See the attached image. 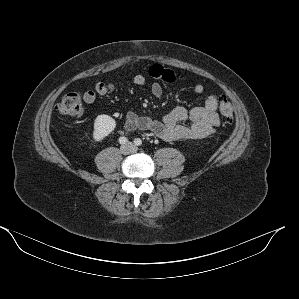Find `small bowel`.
I'll use <instances>...</instances> for the list:
<instances>
[{"label":"small bowel","mask_w":299,"mask_h":299,"mask_svg":"<svg viewBox=\"0 0 299 299\" xmlns=\"http://www.w3.org/2000/svg\"><path fill=\"white\" fill-rule=\"evenodd\" d=\"M148 73L150 77L155 79V82L151 85V93L155 97L162 96V83L184 82L187 80L186 75L165 69L158 64L152 65ZM131 82L134 85H144L146 77L143 74H137ZM115 89L116 85L114 83L100 81L93 90L84 92L83 99L87 104L93 105L97 100V96L107 95ZM192 89L196 94L204 92V86L201 83H195ZM217 107L218 97L209 95L202 106L191 110L178 106L160 121L128 111L125 116L124 128L129 132L136 130L150 131L164 141L201 139L210 135L219 126L220 118Z\"/></svg>","instance_id":"small-bowel-1"}]
</instances>
